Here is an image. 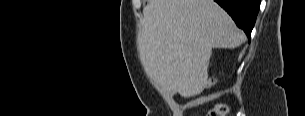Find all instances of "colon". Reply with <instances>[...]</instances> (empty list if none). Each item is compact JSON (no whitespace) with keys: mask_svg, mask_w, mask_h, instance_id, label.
I'll use <instances>...</instances> for the list:
<instances>
[{"mask_svg":"<svg viewBox=\"0 0 305 116\" xmlns=\"http://www.w3.org/2000/svg\"><path fill=\"white\" fill-rule=\"evenodd\" d=\"M214 84V80L212 78L208 79V85L212 86ZM229 112V108L226 105L218 104L211 108L207 113V116H226Z\"/></svg>","mask_w":305,"mask_h":116,"instance_id":"colon-1","label":"colon"}]
</instances>
